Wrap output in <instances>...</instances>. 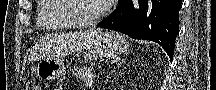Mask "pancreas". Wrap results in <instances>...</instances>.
I'll return each instance as SVG.
<instances>
[{"label": "pancreas", "instance_id": "1", "mask_svg": "<svg viewBox=\"0 0 216 90\" xmlns=\"http://www.w3.org/2000/svg\"><path fill=\"white\" fill-rule=\"evenodd\" d=\"M75 76L76 78H79V80H82L85 86H87V84H89L88 80L94 78L95 74H92L90 68H77Z\"/></svg>", "mask_w": 216, "mask_h": 90}]
</instances>
